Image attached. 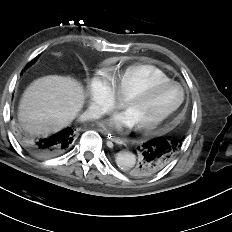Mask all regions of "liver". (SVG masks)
<instances>
[{"mask_svg": "<svg viewBox=\"0 0 232 232\" xmlns=\"http://www.w3.org/2000/svg\"><path fill=\"white\" fill-rule=\"evenodd\" d=\"M84 93L70 77L50 75L35 80L20 101L18 119L32 136L47 137L66 127L81 110Z\"/></svg>", "mask_w": 232, "mask_h": 232, "instance_id": "liver-1", "label": "liver"}]
</instances>
